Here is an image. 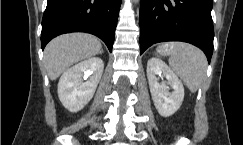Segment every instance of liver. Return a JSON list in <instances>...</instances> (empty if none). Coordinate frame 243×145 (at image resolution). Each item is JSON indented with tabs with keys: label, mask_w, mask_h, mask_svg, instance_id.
<instances>
[{
	"label": "liver",
	"mask_w": 243,
	"mask_h": 145,
	"mask_svg": "<svg viewBox=\"0 0 243 145\" xmlns=\"http://www.w3.org/2000/svg\"><path fill=\"white\" fill-rule=\"evenodd\" d=\"M100 41L86 33H71L56 37L44 50V62L48 76L56 80L71 65L97 55Z\"/></svg>",
	"instance_id": "liver-1"
}]
</instances>
